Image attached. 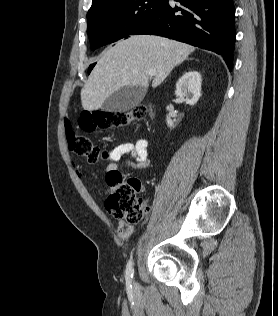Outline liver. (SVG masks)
Listing matches in <instances>:
<instances>
[{
    "label": "liver",
    "mask_w": 278,
    "mask_h": 316,
    "mask_svg": "<svg viewBox=\"0 0 278 316\" xmlns=\"http://www.w3.org/2000/svg\"><path fill=\"white\" fill-rule=\"evenodd\" d=\"M195 50L191 45L155 35H133L105 50L81 90L82 107L97 110L124 86L148 87V70H155L158 87L172 69Z\"/></svg>",
    "instance_id": "obj_1"
}]
</instances>
